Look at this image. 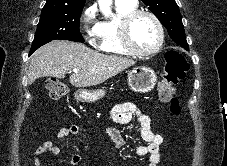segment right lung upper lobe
<instances>
[{
	"mask_svg": "<svg viewBox=\"0 0 227 166\" xmlns=\"http://www.w3.org/2000/svg\"><path fill=\"white\" fill-rule=\"evenodd\" d=\"M85 1L86 0H47L43 9L78 10L83 8Z\"/></svg>",
	"mask_w": 227,
	"mask_h": 166,
	"instance_id": "right-lung-upper-lobe-1",
	"label": "right lung upper lobe"
}]
</instances>
